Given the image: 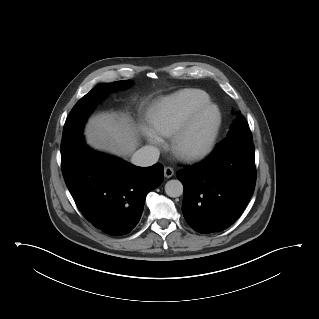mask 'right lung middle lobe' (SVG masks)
<instances>
[{
    "label": "right lung middle lobe",
    "mask_w": 319,
    "mask_h": 319,
    "mask_svg": "<svg viewBox=\"0 0 319 319\" xmlns=\"http://www.w3.org/2000/svg\"><path fill=\"white\" fill-rule=\"evenodd\" d=\"M130 83L129 80H124L99 84L76 103L64 125L61 153H65L77 139L82 137V128L87 116L99 100L110 92L129 87Z\"/></svg>",
    "instance_id": "1"
}]
</instances>
